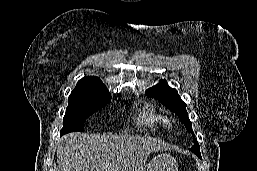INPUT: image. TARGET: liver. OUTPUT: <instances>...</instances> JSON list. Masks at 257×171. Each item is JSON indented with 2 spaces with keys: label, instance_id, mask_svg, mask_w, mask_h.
<instances>
[{
  "label": "liver",
  "instance_id": "liver-1",
  "mask_svg": "<svg viewBox=\"0 0 257 171\" xmlns=\"http://www.w3.org/2000/svg\"><path fill=\"white\" fill-rule=\"evenodd\" d=\"M167 150L159 140L127 134L71 133L57 150L60 171H145L149 155Z\"/></svg>",
  "mask_w": 257,
  "mask_h": 171
}]
</instances>
